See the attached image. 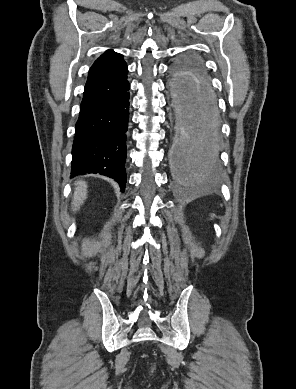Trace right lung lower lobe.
<instances>
[{"label":"right lung lower lobe","instance_id":"right-lung-lower-lobe-1","mask_svg":"<svg viewBox=\"0 0 296 389\" xmlns=\"http://www.w3.org/2000/svg\"><path fill=\"white\" fill-rule=\"evenodd\" d=\"M129 89L127 84L114 95L80 106L71 176L98 173L113 178L124 191Z\"/></svg>","mask_w":296,"mask_h":389}]
</instances>
